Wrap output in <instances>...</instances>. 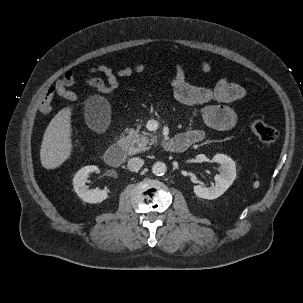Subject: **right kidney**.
<instances>
[{"label": "right kidney", "instance_id": "obj_1", "mask_svg": "<svg viewBox=\"0 0 303 303\" xmlns=\"http://www.w3.org/2000/svg\"><path fill=\"white\" fill-rule=\"evenodd\" d=\"M99 169L97 166L89 165L81 168L74 175L73 186L77 195L87 203L95 204L100 203L107 199L108 194L106 190H101L99 188L89 189L86 185V180L90 173L98 172Z\"/></svg>", "mask_w": 303, "mask_h": 303}]
</instances>
